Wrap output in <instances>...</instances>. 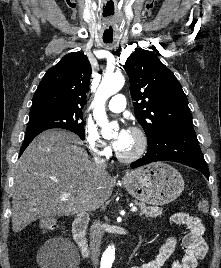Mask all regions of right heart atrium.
<instances>
[{"label":"right heart atrium","instance_id":"1","mask_svg":"<svg viewBox=\"0 0 221 268\" xmlns=\"http://www.w3.org/2000/svg\"><path fill=\"white\" fill-rule=\"evenodd\" d=\"M84 139L90 153L96 158L106 159L110 156L111 150L101 138L97 128L87 124L84 129Z\"/></svg>","mask_w":221,"mask_h":268}]
</instances>
